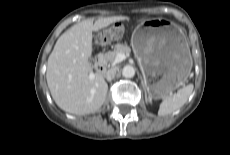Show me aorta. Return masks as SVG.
<instances>
[{"mask_svg": "<svg viewBox=\"0 0 230 155\" xmlns=\"http://www.w3.org/2000/svg\"><path fill=\"white\" fill-rule=\"evenodd\" d=\"M122 75L125 78H132L135 75V69L131 65H126L123 67Z\"/></svg>", "mask_w": 230, "mask_h": 155, "instance_id": "obj_1", "label": "aorta"}]
</instances>
